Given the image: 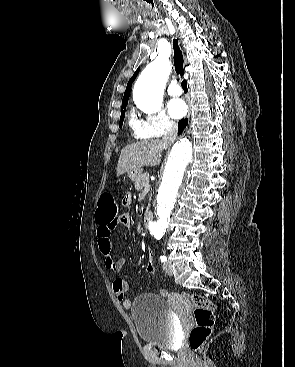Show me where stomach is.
Returning <instances> with one entry per match:
<instances>
[{
    "label": "stomach",
    "mask_w": 295,
    "mask_h": 367,
    "mask_svg": "<svg viewBox=\"0 0 295 367\" xmlns=\"http://www.w3.org/2000/svg\"><path fill=\"white\" fill-rule=\"evenodd\" d=\"M128 176L132 181L136 182L142 176V169L138 168V169L130 170V171H128Z\"/></svg>",
    "instance_id": "stomach-1"
}]
</instances>
